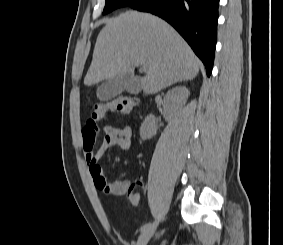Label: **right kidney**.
Segmentation results:
<instances>
[{
    "mask_svg": "<svg viewBox=\"0 0 283 245\" xmlns=\"http://www.w3.org/2000/svg\"><path fill=\"white\" fill-rule=\"evenodd\" d=\"M190 92L185 86H178L168 91L164 97V110L167 114L173 113L181 109L189 96ZM156 118L150 114L143 121L140 127V136L143 140L152 138L157 133Z\"/></svg>",
    "mask_w": 283,
    "mask_h": 245,
    "instance_id": "1",
    "label": "right kidney"
}]
</instances>
